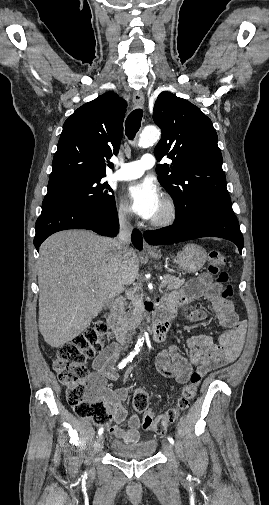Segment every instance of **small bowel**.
Segmentation results:
<instances>
[{
  "label": "small bowel",
  "instance_id": "small-bowel-1",
  "mask_svg": "<svg viewBox=\"0 0 269 505\" xmlns=\"http://www.w3.org/2000/svg\"><path fill=\"white\" fill-rule=\"evenodd\" d=\"M200 298H205L209 302L211 312L226 331L221 334L218 344L205 334L191 336L187 340L188 358L174 347L158 354L156 358L158 373L174 379L179 384L186 383L194 372L204 376L232 363L239 356L244 342L246 322L238 318L232 303L220 296V286L212 281L209 274L199 275L182 289L166 297L165 301L174 309L177 306L185 307V317L191 322H199L207 318V311L190 309L189 306ZM118 357L119 347L111 344L95 359L93 368L102 382L101 397L108 405L109 413L115 422L110 432L117 439L135 443L140 439V420L137 415L127 418L123 402L128 398V390L126 388L110 390L104 386L106 380H116L118 377L115 368ZM124 424L126 428L123 427Z\"/></svg>",
  "mask_w": 269,
  "mask_h": 505
}]
</instances>
